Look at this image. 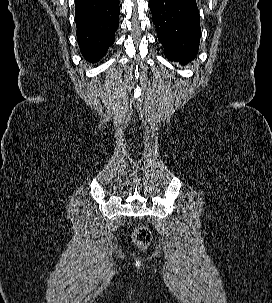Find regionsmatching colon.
<instances>
[{
	"label": "colon",
	"instance_id": "1",
	"mask_svg": "<svg viewBox=\"0 0 272 303\" xmlns=\"http://www.w3.org/2000/svg\"><path fill=\"white\" fill-rule=\"evenodd\" d=\"M132 237L134 242L142 249L146 248L151 242V233L145 227H136Z\"/></svg>",
	"mask_w": 272,
	"mask_h": 303
}]
</instances>
